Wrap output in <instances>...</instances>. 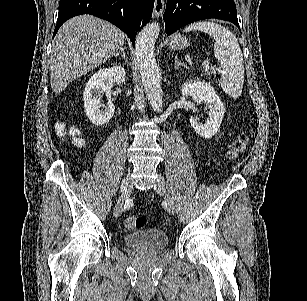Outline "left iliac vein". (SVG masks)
<instances>
[{"instance_id":"4c4485c4","label":"left iliac vein","mask_w":307,"mask_h":301,"mask_svg":"<svg viewBox=\"0 0 307 301\" xmlns=\"http://www.w3.org/2000/svg\"><path fill=\"white\" fill-rule=\"evenodd\" d=\"M154 190L156 193L161 194L163 196L164 200L166 201L168 211L171 214H175L177 211L175 201L173 197L169 194L165 182L161 177H159L158 182L155 184Z\"/></svg>"}]
</instances>
